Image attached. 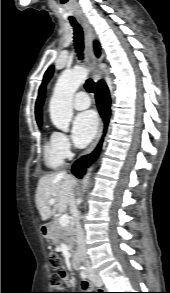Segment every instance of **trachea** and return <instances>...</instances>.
<instances>
[{
  "label": "trachea",
  "instance_id": "trachea-1",
  "mask_svg": "<svg viewBox=\"0 0 170 293\" xmlns=\"http://www.w3.org/2000/svg\"><path fill=\"white\" fill-rule=\"evenodd\" d=\"M70 23L73 26L74 29V46L76 53L78 55V58L80 60L83 59V48H84V43H83V30L81 26L77 23L75 18H70ZM85 89L93 93L95 91V84L91 79H88L85 84H84Z\"/></svg>",
  "mask_w": 170,
  "mask_h": 293
}]
</instances>
